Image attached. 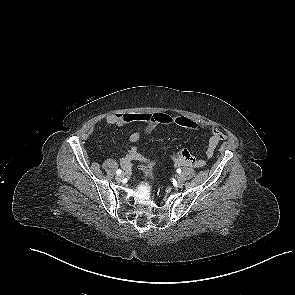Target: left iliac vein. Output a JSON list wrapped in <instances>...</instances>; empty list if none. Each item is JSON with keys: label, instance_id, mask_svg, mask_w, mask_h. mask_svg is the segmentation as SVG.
Here are the masks:
<instances>
[{"label": "left iliac vein", "instance_id": "obj_1", "mask_svg": "<svg viewBox=\"0 0 295 295\" xmlns=\"http://www.w3.org/2000/svg\"><path fill=\"white\" fill-rule=\"evenodd\" d=\"M183 184H184L183 179L181 177H178L176 181V186L180 188L183 186Z\"/></svg>", "mask_w": 295, "mask_h": 295}]
</instances>
